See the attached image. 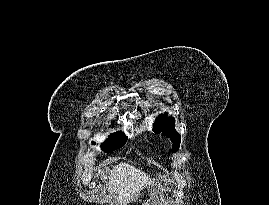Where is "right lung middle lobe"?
<instances>
[{
	"mask_svg": "<svg viewBox=\"0 0 269 205\" xmlns=\"http://www.w3.org/2000/svg\"><path fill=\"white\" fill-rule=\"evenodd\" d=\"M127 141V137L123 132H116L109 136V139H107L101 146L102 150L106 153H110L120 147H122L125 142ZM93 144H95L93 142Z\"/></svg>",
	"mask_w": 269,
	"mask_h": 205,
	"instance_id": "1",
	"label": "right lung middle lobe"
}]
</instances>
